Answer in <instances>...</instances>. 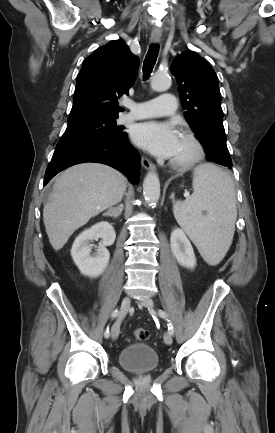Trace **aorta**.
Here are the masks:
<instances>
[{
  "label": "aorta",
  "mask_w": 275,
  "mask_h": 433,
  "mask_svg": "<svg viewBox=\"0 0 275 433\" xmlns=\"http://www.w3.org/2000/svg\"><path fill=\"white\" fill-rule=\"evenodd\" d=\"M155 91H165L171 86V78L167 74L157 73L150 82ZM143 194L149 205H155L160 198V181L154 172H149L143 181Z\"/></svg>",
  "instance_id": "aorta-1"
}]
</instances>
